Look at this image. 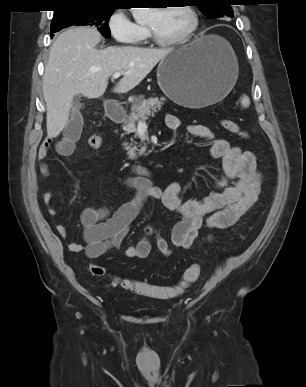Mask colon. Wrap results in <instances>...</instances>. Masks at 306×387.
Wrapping results in <instances>:
<instances>
[{
    "instance_id": "5ec220e1",
    "label": "colon",
    "mask_w": 306,
    "mask_h": 387,
    "mask_svg": "<svg viewBox=\"0 0 306 387\" xmlns=\"http://www.w3.org/2000/svg\"><path fill=\"white\" fill-rule=\"evenodd\" d=\"M220 125L226 131L241 136L247 137V133L243 131L240 126L233 120L222 119ZM88 145L93 149L102 147V137L98 133H93L88 137ZM90 272L94 276H104L106 270L103 266L92 264ZM201 266L198 263L189 265L180 280V282L173 286H160L151 284L145 280H134L130 278L116 277L113 279V284L125 290L131 291L135 294L154 298V299H169L181 295L188 287H190L200 276Z\"/></svg>"
}]
</instances>
